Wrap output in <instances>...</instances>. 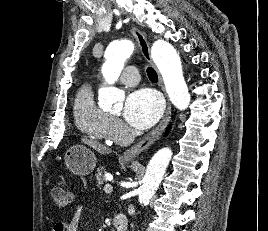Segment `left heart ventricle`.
<instances>
[{
	"label": "left heart ventricle",
	"instance_id": "b2bd125f",
	"mask_svg": "<svg viewBox=\"0 0 268 231\" xmlns=\"http://www.w3.org/2000/svg\"><path fill=\"white\" fill-rule=\"evenodd\" d=\"M119 111H115L114 114H118Z\"/></svg>",
	"mask_w": 268,
	"mask_h": 231
}]
</instances>
